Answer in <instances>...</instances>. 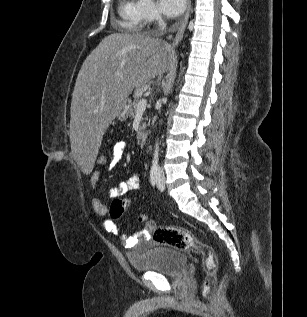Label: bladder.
<instances>
[{
	"instance_id": "obj_1",
	"label": "bladder",
	"mask_w": 307,
	"mask_h": 317,
	"mask_svg": "<svg viewBox=\"0 0 307 317\" xmlns=\"http://www.w3.org/2000/svg\"><path fill=\"white\" fill-rule=\"evenodd\" d=\"M134 271H150L163 275L177 276L185 269L186 256L175 249L155 247L141 256L128 255Z\"/></svg>"
}]
</instances>
